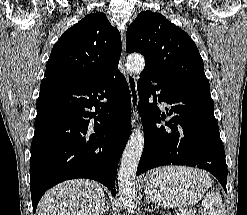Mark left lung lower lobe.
Returning a JSON list of instances; mask_svg holds the SVG:
<instances>
[{
	"label": "left lung lower lobe",
	"instance_id": "left-lung-lower-lobe-1",
	"mask_svg": "<svg viewBox=\"0 0 247 215\" xmlns=\"http://www.w3.org/2000/svg\"><path fill=\"white\" fill-rule=\"evenodd\" d=\"M137 90L138 112L145 132L137 175L162 165H186L209 171L226 191L225 152L210 93L175 84L146 71L140 74ZM156 90L160 91L158 97ZM157 98L170 105L166 113H161L156 106Z\"/></svg>",
	"mask_w": 247,
	"mask_h": 215
}]
</instances>
